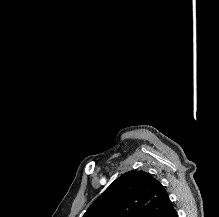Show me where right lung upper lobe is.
Here are the masks:
<instances>
[{
  "label": "right lung upper lobe",
  "mask_w": 219,
  "mask_h": 217,
  "mask_svg": "<svg viewBox=\"0 0 219 217\" xmlns=\"http://www.w3.org/2000/svg\"><path fill=\"white\" fill-rule=\"evenodd\" d=\"M174 209L164 186L144 171L117 178L83 217H167Z\"/></svg>",
  "instance_id": "obj_1"
}]
</instances>
